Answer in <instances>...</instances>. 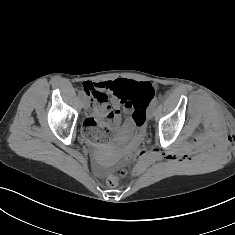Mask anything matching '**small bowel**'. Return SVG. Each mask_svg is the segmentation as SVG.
I'll return each instance as SVG.
<instances>
[{
	"label": "small bowel",
	"mask_w": 235,
	"mask_h": 235,
	"mask_svg": "<svg viewBox=\"0 0 235 235\" xmlns=\"http://www.w3.org/2000/svg\"><path fill=\"white\" fill-rule=\"evenodd\" d=\"M129 82L127 81H107V82H102L99 83L100 89L107 91V92H113V91H118V92H125L127 90V84ZM111 105H112V110L109 112V123L112 124H118L120 121V107H121V102L117 97H112L111 98ZM95 111H98L97 107L95 108ZM125 112L129 113L130 108L126 107ZM129 123V122H128Z\"/></svg>",
	"instance_id": "small-bowel-1"
}]
</instances>
